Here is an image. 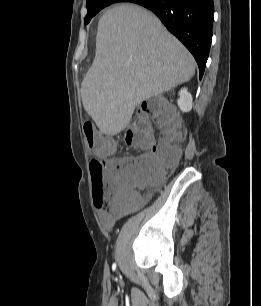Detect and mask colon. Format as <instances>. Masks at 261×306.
<instances>
[{
  "mask_svg": "<svg viewBox=\"0 0 261 306\" xmlns=\"http://www.w3.org/2000/svg\"><path fill=\"white\" fill-rule=\"evenodd\" d=\"M153 124L161 130L158 140L153 136ZM177 128L174 112L160 98L149 100L125 137L129 146L143 154L114 160L108 166L97 158L89 163L96 207L113 212L132 199L135 187L159 185L166 170L175 165L180 156V149L174 145L179 137ZM83 132L88 150L99 155L111 149L112 142L97 138L91 124L84 126Z\"/></svg>",
  "mask_w": 261,
  "mask_h": 306,
  "instance_id": "5ec220e1",
  "label": "colon"
}]
</instances>
